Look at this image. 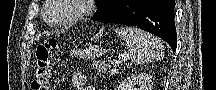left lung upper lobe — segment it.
I'll use <instances>...</instances> for the list:
<instances>
[{
    "label": "left lung upper lobe",
    "mask_w": 216,
    "mask_h": 90,
    "mask_svg": "<svg viewBox=\"0 0 216 90\" xmlns=\"http://www.w3.org/2000/svg\"><path fill=\"white\" fill-rule=\"evenodd\" d=\"M121 0H95V2L98 5V10L97 12L94 14V16L109 10L111 8H113L114 6H116ZM93 16V17H94Z\"/></svg>",
    "instance_id": "5c2ea615"
}]
</instances>
